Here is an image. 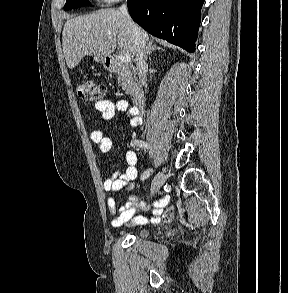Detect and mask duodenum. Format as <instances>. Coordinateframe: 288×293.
Returning a JSON list of instances; mask_svg holds the SVG:
<instances>
[{
  "label": "duodenum",
  "mask_w": 288,
  "mask_h": 293,
  "mask_svg": "<svg viewBox=\"0 0 288 293\" xmlns=\"http://www.w3.org/2000/svg\"><path fill=\"white\" fill-rule=\"evenodd\" d=\"M107 67L111 72H115V73L121 70V65L119 64V62L115 58H112V57L107 59ZM145 101H146V95L144 91L141 88H137L135 90V94L133 98V107L137 109L138 111H140L144 107Z\"/></svg>",
  "instance_id": "duodenum-1"
}]
</instances>
